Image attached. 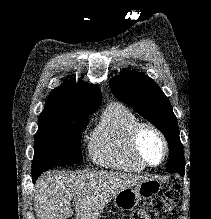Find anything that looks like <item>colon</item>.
Wrapping results in <instances>:
<instances>
[{"label": "colon", "instance_id": "1", "mask_svg": "<svg viewBox=\"0 0 211 219\" xmlns=\"http://www.w3.org/2000/svg\"><path fill=\"white\" fill-rule=\"evenodd\" d=\"M178 197V191L174 188L143 203L132 214L121 219H163L174 214Z\"/></svg>", "mask_w": 211, "mask_h": 219}]
</instances>
